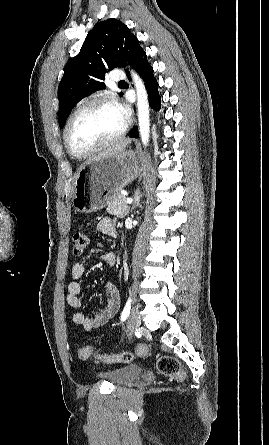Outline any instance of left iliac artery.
Returning a JSON list of instances; mask_svg holds the SVG:
<instances>
[{
	"label": "left iliac artery",
	"instance_id": "1",
	"mask_svg": "<svg viewBox=\"0 0 269 445\" xmlns=\"http://www.w3.org/2000/svg\"><path fill=\"white\" fill-rule=\"evenodd\" d=\"M130 308H131V298L129 297L127 302H126V304H125V307H124V309L122 311V314H121V320L122 321H124L129 316Z\"/></svg>",
	"mask_w": 269,
	"mask_h": 445
}]
</instances>
